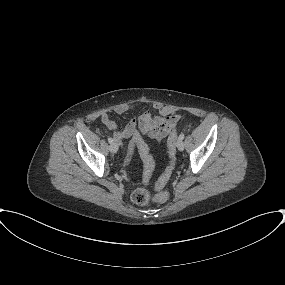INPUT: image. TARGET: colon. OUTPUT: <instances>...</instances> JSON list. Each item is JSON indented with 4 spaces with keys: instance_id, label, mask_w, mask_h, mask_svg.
Here are the masks:
<instances>
[{
    "instance_id": "1",
    "label": "colon",
    "mask_w": 285,
    "mask_h": 285,
    "mask_svg": "<svg viewBox=\"0 0 285 285\" xmlns=\"http://www.w3.org/2000/svg\"><path fill=\"white\" fill-rule=\"evenodd\" d=\"M176 139L177 135L175 133H172L167 140L168 154L171 158V162L166 167L163 174L157 181L155 185L157 189H161L162 187H164L172 176L174 170V153H175L174 146ZM136 146H138L140 149L141 157L144 163V171H143L144 180L149 181L154 170L153 156L151 155L147 146L143 145L140 142H134V141H132L129 145L128 148L129 155L133 153ZM132 200L138 205H145L150 201H153L154 203L159 205H163L167 201V195L163 192L151 195L148 189L141 187L134 190V192L132 193Z\"/></svg>"
}]
</instances>
